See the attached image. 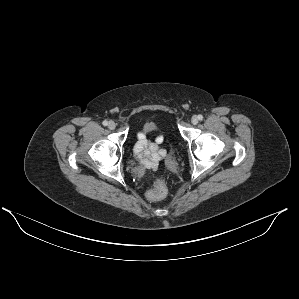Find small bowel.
<instances>
[{
  "label": "small bowel",
  "mask_w": 299,
  "mask_h": 299,
  "mask_svg": "<svg viewBox=\"0 0 299 299\" xmlns=\"http://www.w3.org/2000/svg\"><path fill=\"white\" fill-rule=\"evenodd\" d=\"M162 137L157 136L154 140L147 138L143 133L138 134L134 152L137 159L146 169H156L165 151L161 148Z\"/></svg>",
  "instance_id": "c3829d8e"
}]
</instances>
